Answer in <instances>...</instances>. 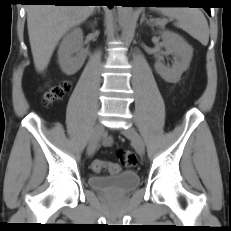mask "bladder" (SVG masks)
I'll use <instances>...</instances> for the list:
<instances>
[{
	"mask_svg": "<svg viewBox=\"0 0 231 231\" xmlns=\"http://www.w3.org/2000/svg\"><path fill=\"white\" fill-rule=\"evenodd\" d=\"M139 176L133 171H126L112 176L92 175L88 185L93 190L108 195H126L139 185Z\"/></svg>",
	"mask_w": 231,
	"mask_h": 231,
	"instance_id": "31cf9c89",
	"label": "bladder"
}]
</instances>
